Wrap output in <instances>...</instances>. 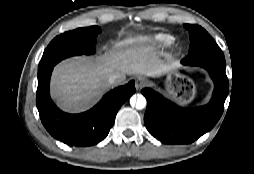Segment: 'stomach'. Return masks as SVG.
<instances>
[{
  "instance_id": "stomach-1",
  "label": "stomach",
  "mask_w": 254,
  "mask_h": 174,
  "mask_svg": "<svg viewBox=\"0 0 254 174\" xmlns=\"http://www.w3.org/2000/svg\"><path fill=\"white\" fill-rule=\"evenodd\" d=\"M165 88L183 105L190 103L194 99L196 93L194 81L188 76L177 72L168 75Z\"/></svg>"
}]
</instances>
